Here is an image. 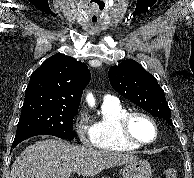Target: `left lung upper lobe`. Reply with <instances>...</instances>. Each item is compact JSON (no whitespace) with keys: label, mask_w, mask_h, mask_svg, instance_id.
<instances>
[{"label":"left lung upper lobe","mask_w":194,"mask_h":178,"mask_svg":"<svg viewBox=\"0 0 194 178\" xmlns=\"http://www.w3.org/2000/svg\"><path fill=\"white\" fill-rule=\"evenodd\" d=\"M108 76L112 87L119 94L153 116L163 118L169 125H173L163 89L155 77L138 62L125 60L118 66L111 67Z\"/></svg>","instance_id":"left-lung-upper-lobe-1"}]
</instances>
